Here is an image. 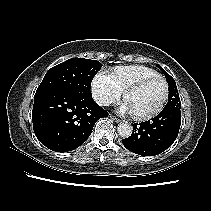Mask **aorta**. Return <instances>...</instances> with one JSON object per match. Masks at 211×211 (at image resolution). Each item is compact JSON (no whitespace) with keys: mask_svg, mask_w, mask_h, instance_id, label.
<instances>
[{"mask_svg":"<svg viewBox=\"0 0 211 211\" xmlns=\"http://www.w3.org/2000/svg\"><path fill=\"white\" fill-rule=\"evenodd\" d=\"M117 131L122 138H128L132 134V126L127 122H123L118 125Z\"/></svg>","mask_w":211,"mask_h":211,"instance_id":"aorta-1","label":"aorta"}]
</instances>
